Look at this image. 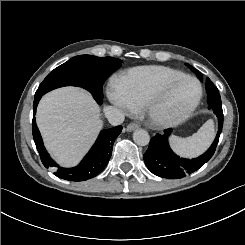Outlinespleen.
I'll list each match as a JSON object with an SVG mask.
<instances>
[{"mask_svg":"<svg viewBox=\"0 0 245 245\" xmlns=\"http://www.w3.org/2000/svg\"><path fill=\"white\" fill-rule=\"evenodd\" d=\"M216 138V125L213 118L208 119L196 134L179 139L174 135L167 137L170 149L180 158L195 159L205 154Z\"/></svg>","mask_w":245,"mask_h":245,"instance_id":"3e777b00","label":"spleen"}]
</instances>
